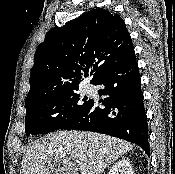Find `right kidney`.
<instances>
[{
  "mask_svg": "<svg viewBox=\"0 0 175 174\" xmlns=\"http://www.w3.org/2000/svg\"><path fill=\"white\" fill-rule=\"evenodd\" d=\"M108 174H134V171L130 161L128 159H122L111 167Z\"/></svg>",
  "mask_w": 175,
  "mask_h": 174,
  "instance_id": "1",
  "label": "right kidney"
}]
</instances>
